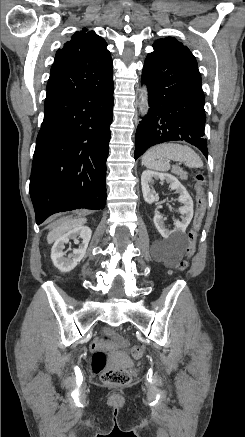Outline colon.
<instances>
[{
    "label": "colon",
    "instance_id": "obj_1",
    "mask_svg": "<svg viewBox=\"0 0 245 437\" xmlns=\"http://www.w3.org/2000/svg\"><path fill=\"white\" fill-rule=\"evenodd\" d=\"M197 180V205L193 218V227L188 234V247L186 250L187 257L191 258L195 252L198 232L202 226L206 214V195L203 187L204 175L202 173L196 174ZM187 260H183L179 264V270L183 271L187 268ZM110 337L95 339L91 344V349L94 351L92 358V368L94 372L100 375L101 381L110 386H124L131 381V376L128 371L124 369H110L107 368V355L103 348L108 343ZM129 353L134 359L142 357L143 350L140 346L134 345L129 348Z\"/></svg>",
    "mask_w": 245,
    "mask_h": 437
}]
</instances>
